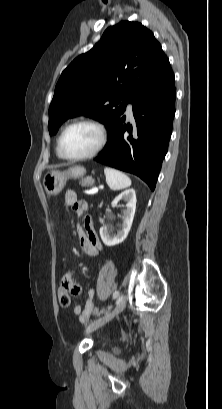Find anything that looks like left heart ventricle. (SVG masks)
<instances>
[{
	"label": "left heart ventricle",
	"instance_id": "1",
	"mask_svg": "<svg viewBox=\"0 0 222 409\" xmlns=\"http://www.w3.org/2000/svg\"><path fill=\"white\" fill-rule=\"evenodd\" d=\"M100 135L98 130L90 125L72 127L64 136L63 150L69 156L87 154L98 145Z\"/></svg>",
	"mask_w": 222,
	"mask_h": 409
}]
</instances>
